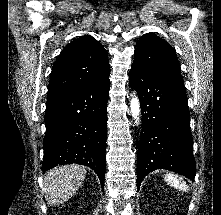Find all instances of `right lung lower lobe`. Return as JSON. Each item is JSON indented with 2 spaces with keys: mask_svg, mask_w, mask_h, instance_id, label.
<instances>
[{
  "mask_svg": "<svg viewBox=\"0 0 221 215\" xmlns=\"http://www.w3.org/2000/svg\"><path fill=\"white\" fill-rule=\"evenodd\" d=\"M109 88L108 74L46 102L42 171L64 164L86 165L104 187Z\"/></svg>",
  "mask_w": 221,
  "mask_h": 215,
  "instance_id": "right-lung-lower-lobe-1",
  "label": "right lung lower lobe"
}]
</instances>
